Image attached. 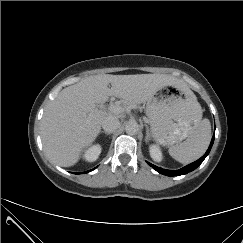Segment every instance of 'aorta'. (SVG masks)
Here are the masks:
<instances>
[{"label":"aorta","mask_w":243,"mask_h":243,"mask_svg":"<svg viewBox=\"0 0 243 243\" xmlns=\"http://www.w3.org/2000/svg\"><path fill=\"white\" fill-rule=\"evenodd\" d=\"M125 131L129 135H135L139 131V125L135 121H130L127 123Z\"/></svg>","instance_id":"obj_1"}]
</instances>
